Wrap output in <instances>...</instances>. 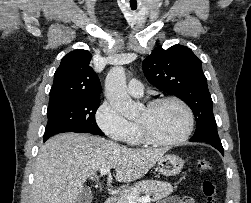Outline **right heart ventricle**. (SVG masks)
<instances>
[{"mask_svg": "<svg viewBox=\"0 0 251 203\" xmlns=\"http://www.w3.org/2000/svg\"><path fill=\"white\" fill-rule=\"evenodd\" d=\"M127 141L132 145H138L143 142L137 124H132V130Z\"/></svg>", "mask_w": 251, "mask_h": 203, "instance_id": "right-heart-ventricle-1", "label": "right heart ventricle"}]
</instances>
